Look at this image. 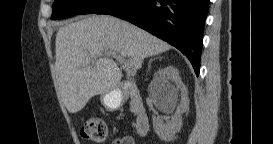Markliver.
<instances>
[{"instance_id":"1","label":"liver","mask_w":273,"mask_h":144,"mask_svg":"<svg viewBox=\"0 0 273 144\" xmlns=\"http://www.w3.org/2000/svg\"><path fill=\"white\" fill-rule=\"evenodd\" d=\"M55 46L59 90L72 114L82 110L91 97L119 86L122 72L103 54L120 53L139 69L145 58L171 49L147 31L109 15L65 23L57 32Z\"/></svg>"}]
</instances>
